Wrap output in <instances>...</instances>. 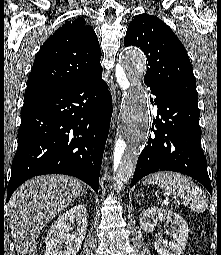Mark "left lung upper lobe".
Returning a JSON list of instances; mask_svg holds the SVG:
<instances>
[{"instance_id": "5c2ea615", "label": "left lung upper lobe", "mask_w": 221, "mask_h": 255, "mask_svg": "<svg viewBox=\"0 0 221 255\" xmlns=\"http://www.w3.org/2000/svg\"><path fill=\"white\" fill-rule=\"evenodd\" d=\"M124 45H134L148 59L144 82L151 89L197 104L198 94L188 54L169 26L153 15H136Z\"/></svg>"}]
</instances>
